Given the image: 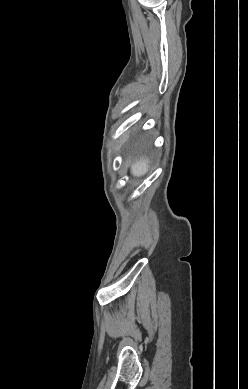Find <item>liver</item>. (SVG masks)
Listing matches in <instances>:
<instances>
[{
	"label": "liver",
	"instance_id": "obj_1",
	"mask_svg": "<svg viewBox=\"0 0 248 389\" xmlns=\"http://www.w3.org/2000/svg\"><path fill=\"white\" fill-rule=\"evenodd\" d=\"M149 160L146 157H141L131 165V173L133 176L141 177L149 170Z\"/></svg>",
	"mask_w": 248,
	"mask_h": 389
}]
</instances>
